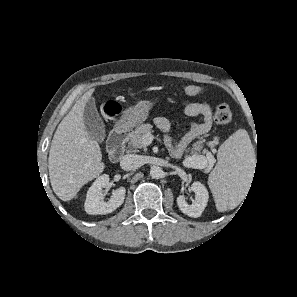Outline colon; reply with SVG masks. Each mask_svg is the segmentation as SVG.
<instances>
[{
    "label": "colon",
    "instance_id": "colon-1",
    "mask_svg": "<svg viewBox=\"0 0 297 297\" xmlns=\"http://www.w3.org/2000/svg\"><path fill=\"white\" fill-rule=\"evenodd\" d=\"M184 92L187 96H196L202 92V88L196 85H188L184 88ZM102 109L108 116H116L120 113V105L113 101L107 100L104 102ZM232 119V110L227 103H222L217 106L214 113V120L218 124H227Z\"/></svg>",
    "mask_w": 297,
    "mask_h": 297
}]
</instances>
